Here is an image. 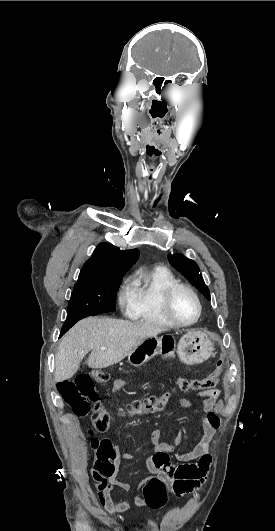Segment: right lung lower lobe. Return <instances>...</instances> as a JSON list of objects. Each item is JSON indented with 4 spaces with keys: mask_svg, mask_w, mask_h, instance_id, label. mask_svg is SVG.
<instances>
[{
    "mask_svg": "<svg viewBox=\"0 0 275 531\" xmlns=\"http://www.w3.org/2000/svg\"><path fill=\"white\" fill-rule=\"evenodd\" d=\"M64 333H65V332L62 331V332H61V335H63Z\"/></svg>",
    "mask_w": 275,
    "mask_h": 531,
    "instance_id": "right-lung-lower-lobe-1",
    "label": "right lung lower lobe"
}]
</instances>
